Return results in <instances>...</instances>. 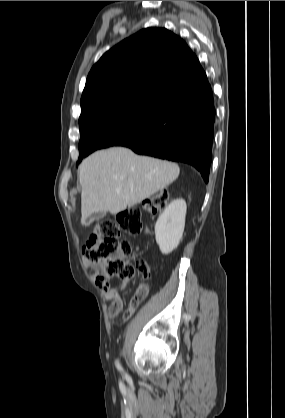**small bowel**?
Here are the masks:
<instances>
[{"instance_id": "1", "label": "small bowel", "mask_w": 285, "mask_h": 418, "mask_svg": "<svg viewBox=\"0 0 285 418\" xmlns=\"http://www.w3.org/2000/svg\"><path fill=\"white\" fill-rule=\"evenodd\" d=\"M137 266L141 270L142 282L147 283L150 286L152 282V274L150 272L147 262L143 259H140L137 261ZM89 269L96 275L100 271L101 265L90 264ZM124 285L125 283H123L122 286ZM104 294H105V297L111 301V306L108 310V317L110 319L115 318L123 311L124 300H123L122 292L113 287H109L107 289H104ZM140 303L141 302H136L134 301V299H132L130 302L129 308L124 312L123 317L125 319H128L132 315L133 311L140 305Z\"/></svg>"}]
</instances>
